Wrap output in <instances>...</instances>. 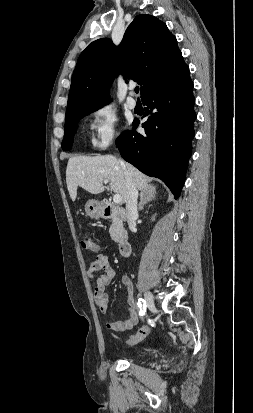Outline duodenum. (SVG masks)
Instances as JSON below:
<instances>
[{"label":"duodenum","instance_id":"obj_1","mask_svg":"<svg viewBox=\"0 0 253 413\" xmlns=\"http://www.w3.org/2000/svg\"><path fill=\"white\" fill-rule=\"evenodd\" d=\"M101 213L105 218H126V211L123 208L117 207L109 202H103L101 204ZM119 253L123 257H128L131 253V245L127 237L122 236L118 239Z\"/></svg>","mask_w":253,"mask_h":413}]
</instances>
